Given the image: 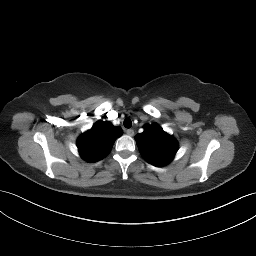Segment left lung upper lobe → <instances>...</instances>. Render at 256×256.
Instances as JSON below:
<instances>
[{
  "mask_svg": "<svg viewBox=\"0 0 256 256\" xmlns=\"http://www.w3.org/2000/svg\"><path fill=\"white\" fill-rule=\"evenodd\" d=\"M135 140L143 158L155 166L170 163L178 150L177 141L156 123L144 126Z\"/></svg>",
  "mask_w": 256,
  "mask_h": 256,
  "instance_id": "obj_1",
  "label": "left lung upper lobe"
}]
</instances>
